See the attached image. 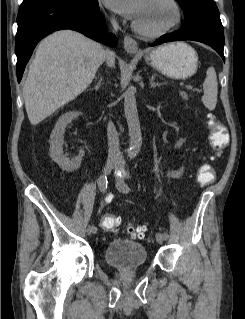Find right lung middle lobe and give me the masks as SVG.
Listing matches in <instances>:
<instances>
[{
  "mask_svg": "<svg viewBox=\"0 0 245 319\" xmlns=\"http://www.w3.org/2000/svg\"><path fill=\"white\" fill-rule=\"evenodd\" d=\"M48 1H53V0H23L22 6H30V5L45 3Z\"/></svg>",
  "mask_w": 245,
  "mask_h": 319,
  "instance_id": "obj_1",
  "label": "right lung middle lobe"
}]
</instances>
